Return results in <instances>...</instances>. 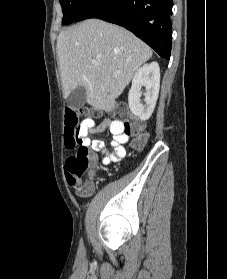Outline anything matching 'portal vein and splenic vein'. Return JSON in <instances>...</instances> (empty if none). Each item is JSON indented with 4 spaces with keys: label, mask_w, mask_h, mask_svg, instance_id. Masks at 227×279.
I'll use <instances>...</instances> for the list:
<instances>
[{
    "label": "portal vein and splenic vein",
    "mask_w": 227,
    "mask_h": 279,
    "mask_svg": "<svg viewBox=\"0 0 227 279\" xmlns=\"http://www.w3.org/2000/svg\"><path fill=\"white\" fill-rule=\"evenodd\" d=\"M93 64H94V65H99V62L93 61Z\"/></svg>",
    "instance_id": "obj_1"
}]
</instances>
